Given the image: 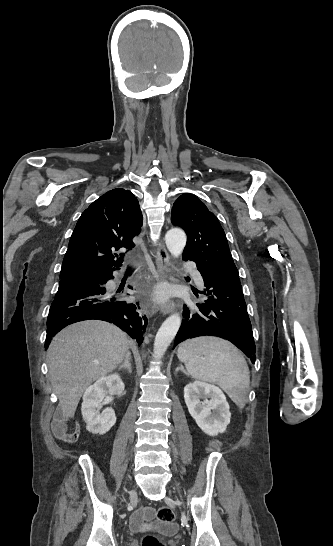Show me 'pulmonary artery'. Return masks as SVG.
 <instances>
[{
  "mask_svg": "<svg viewBox=\"0 0 333 546\" xmlns=\"http://www.w3.org/2000/svg\"><path fill=\"white\" fill-rule=\"evenodd\" d=\"M194 279L198 285H203L202 277L198 272H195Z\"/></svg>",
  "mask_w": 333,
  "mask_h": 546,
  "instance_id": "e3ab8cb5",
  "label": "pulmonary artery"
}]
</instances>
